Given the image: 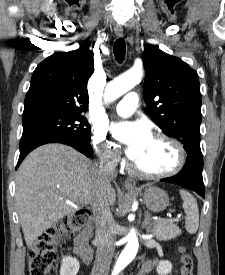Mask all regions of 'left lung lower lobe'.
Instances as JSON below:
<instances>
[{
    "label": "left lung lower lobe",
    "mask_w": 225,
    "mask_h": 275,
    "mask_svg": "<svg viewBox=\"0 0 225 275\" xmlns=\"http://www.w3.org/2000/svg\"><path fill=\"white\" fill-rule=\"evenodd\" d=\"M203 157L199 151L187 154L183 169L175 176L161 179L162 182L174 183L205 196V187L202 177Z\"/></svg>",
    "instance_id": "0a47b994"
}]
</instances>
